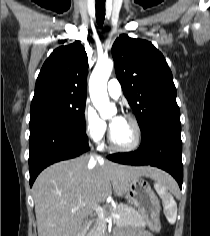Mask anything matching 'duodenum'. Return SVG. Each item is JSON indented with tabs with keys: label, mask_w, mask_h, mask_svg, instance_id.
I'll return each mask as SVG.
<instances>
[{
	"label": "duodenum",
	"mask_w": 210,
	"mask_h": 236,
	"mask_svg": "<svg viewBox=\"0 0 210 236\" xmlns=\"http://www.w3.org/2000/svg\"><path fill=\"white\" fill-rule=\"evenodd\" d=\"M78 236H84V233H83V232H81V233H79V234H78Z\"/></svg>",
	"instance_id": "1"
}]
</instances>
